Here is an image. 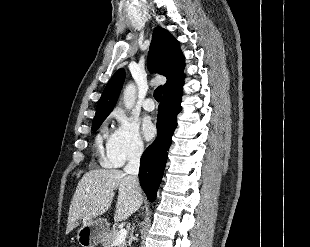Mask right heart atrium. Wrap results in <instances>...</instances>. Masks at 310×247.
I'll return each instance as SVG.
<instances>
[{"mask_svg":"<svg viewBox=\"0 0 310 247\" xmlns=\"http://www.w3.org/2000/svg\"><path fill=\"white\" fill-rule=\"evenodd\" d=\"M116 127L109 136L102 163L109 167H120L127 161L139 159L144 152L138 124L122 111L112 115Z\"/></svg>","mask_w":310,"mask_h":247,"instance_id":"1","label":"right heart atrium"}]
</instances>
